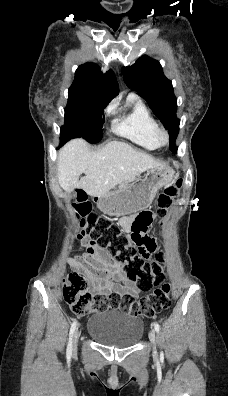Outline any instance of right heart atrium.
I'll return each instance as SVG.
<instances>
[{"mask_svg": "<svg viewBox=\"0 0 228 396\" xmlns=\"http://www.w3.org/2000/svg\"><path fill=\"white\" fill-rule=\"evenodd\" d=\"M106 111L109 113L111 111V107H108Z\"/></svg>", "mask_w": 228, "mask_h": 396, "instance_id": "d8ad5b80", "label": "right heart atrium"}]
</instances>
